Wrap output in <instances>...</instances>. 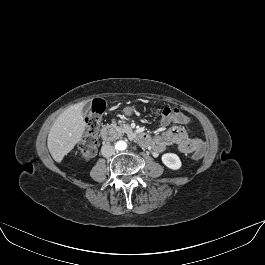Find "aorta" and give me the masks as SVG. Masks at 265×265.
<instances>
[{"label": "aorta", "instance_id": "aorta-1", "mask_svg": "<svg viewBox=\"0 0 265 265\" xmlns=\"http://www.w3.org/2000/svg\"><path fill=\"white\" fill-rule=\"evenodd\" d=\"M127 148V143L123 140H119L115 143V149L118 151H124Z\"/></svg>", "mask_w": 265, "mask_h": 265}]
</instances>
